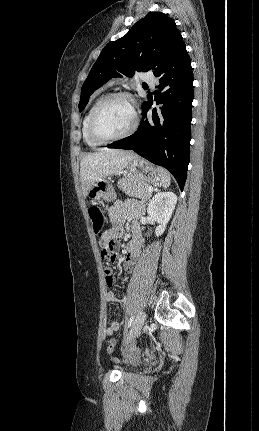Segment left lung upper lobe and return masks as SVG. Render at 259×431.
Here are the masks:
<instances>
[{
  "mask_svg": "<svg viewBox=\"0 0 259 431\" xmlns=\"http://www.w3.org/2000/svg\"><path fill=\"white\" fill-rule=\"evenodd\" d=\"M182 36L175 22L162 12H151L133 25L122 38L109 42L89 72L82 89L79 111L92 93L122 73L132 77L135 71L157 72Z\"/></svg>",
  "mask_w": 259,
  "mask_h": 431,
  "instance_id": "1",
  "label": "left lung upper lobe"
}]
</instances>
